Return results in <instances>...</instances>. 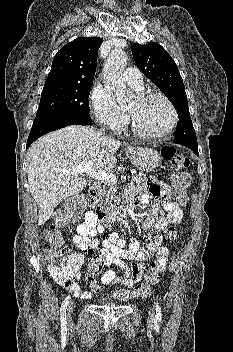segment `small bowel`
I'll list each match as a JSON object with an SVG mask.
<instances>
[{"label":"small bowel","mask_w":233,"mask_h":352,"mask_svg":"<svg viewBox=\"0 0 233 352\" xmlns=\"http://www.w3.org/2000/svg\"><path fill=\"white\" fill-rule=\"evenodd\" d=\"M171 189L168 185L150 178L144 185L129 193V197L135 201V204H147L149 200L154 199L152 213L148 220L143 224L144 233L141 238L147 242L146 251L141 250L138 239H131L129 247L125 249L126 242L116 232L100 242L96 236L104 231V228L98 225L95 215L89 211L85 215L84 222L77 225L76 233L73 237L75 246L86 251L88 256H93L101 248V253L106 257V265H114L120 269L118 275L114 270L104 272L101 280L104 284H122L125 287H131L140 281L146 261L156 255V263L162 268L167 264L169 251L162 246V232L170 224L179 223L182 219V210L180 206L173 204L169 200ZM85 260L81 252H74L68 256V262L73 267V274L64 280H57L66 290L71 292L75 297L80 299H90L92 293L83 291L77 279L82 277L80 268ZM124 260H134V263L128 266Z\"/></svg>","instance_id":"c3829d8e"}]
</instances>
